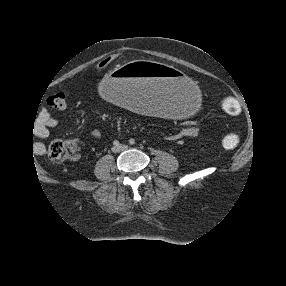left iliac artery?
Here are the masks:
<instances>
[{
  "label": "left iliac artery",
  "mask_w": 286,
  "mask_h": 286,
  "mask_svg": "<svg viewBox=\"0 0 286 286\" xmlns=\"http://www.w3.org/2000/svg\"><path fill=\"white\" fill-rule=\"evenodd\" d=\"M129 143H130L131 145H133V144H135V140H134V139H130V140H129Z\"/></svg>",
  "instance_id": "obj_1"
}]
</instances>
